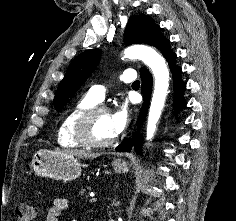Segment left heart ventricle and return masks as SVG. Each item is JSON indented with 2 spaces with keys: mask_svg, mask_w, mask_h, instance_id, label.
I'll return each instance as SVG.
<instances>
[{
  "mask_svg": "<svg viewBox=\"0 0 236 221\" xmlns=\"http://www.w3.org/2000/svg\"><path fill=\"white\" fill-rule=\"evenodd\" d=\"M93 135L98 140H109L116 136L109 112H102L98 115L94 122Z\"/></svg>",
  "mask_w": 236,
  "mask_h": 221,
  "instance_id": "left-heart-ventricle-1",
  "label": "left heart ventricle"
}]
</instances>
